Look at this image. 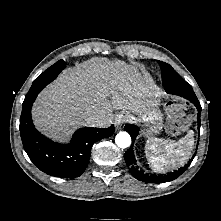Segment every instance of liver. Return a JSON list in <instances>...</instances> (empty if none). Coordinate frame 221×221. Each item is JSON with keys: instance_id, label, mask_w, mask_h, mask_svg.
<instances>
[{"instance_id": "1", "label": "liver", "mask_w": 221, "mask_h": 221, "mask_svg": "<svg viewBox=\"0 0 221 221\" xmlns=\"http://www.w3.org/2000/svg\"><path fill=\"white\" fill-rule=\"evenodd\" d=\"M160 92L150 78L123 61L90 59L62 72L38 96L32 109L35 126L54 140H65L77 128L108 127L113 110L141 113ZM98 115L89 123L86 119Z\"/></svg>"}]
</instances>
